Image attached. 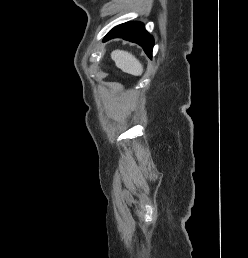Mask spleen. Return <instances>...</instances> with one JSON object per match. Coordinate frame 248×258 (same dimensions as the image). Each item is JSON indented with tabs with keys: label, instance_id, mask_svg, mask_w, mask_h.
<instances>
[{
	"label": "spleen",
	"instance_id": "spleen-1",
	"mask_svg": "<svg viewBox=\"0 0 248 258\" xmlns=\"http://www.w3.org/2000/svg\"><path fill=\"white\" fill-rule=\"evenodd\" d=\"M111 58L116 66L123 72L140 76L143 73V66L138 59L131 53L123 50H114L111 53Z\"/></svg>",
	"mask_w": 248,
	"mask_h": 258
}]
</instances>
